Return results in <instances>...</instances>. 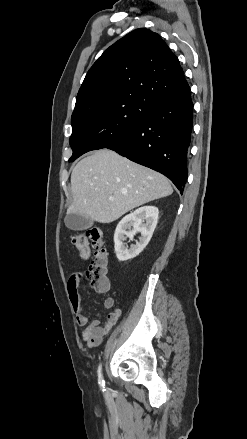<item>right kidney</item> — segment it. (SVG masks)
<instances>
[{
	"label": "right kidney",
	"mask_w": 247,
	"mask_h": 439,
	"mask_svg": "<svg viewBox=\"0 0 247 439\" xmlns=\"http://www.w3.org/2000/svg\"><path fill=\"white\" fill-rule=\"evenodd\" d=\"M159 210L155 206H144L126 215L117 225L114 234V248L117 259L126 261L139 255L149 243L158 222ZM141 233L139 242L128 249L124 241L133 240L136 233Z\"/></svg>",
	"instance_id": "obj_1"
}]
</instances>
